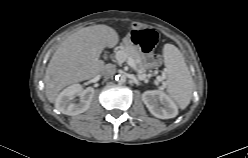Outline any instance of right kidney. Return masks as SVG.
I'll return each instance as SVG.
<instances>
[{"label": "right kidney", "mask_w": 248, "mask_h": 158, "mask_svg": "<svg viewBox=\"0 0 248 158\" xmlns=\"http://www.w3.org/2000/svg\"><path fill=\"white\" fill-rule=\"evenodd\" d=\"M94 89H83L80 84H73L64 89L56 99V108L63 114L74 116L87 111L94 96ZM79 96V101L74 99Z\"/></svg>", "instance_id": "obj_1"}]
</instances>
